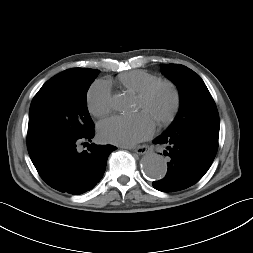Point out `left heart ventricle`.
<instances>
[{"instance_id": "obj_1", "label": "left heart ventricle", "mask_w": 253, "mask_h": 253, "mask_svg": "<svg viewBox=\"0 0 253 253\" xmlns=\"http://www.w3.org/2000/svg\"><path fill=\"white\" fill-rule=\"evenodd\" d=\"M171 104V93L163 87L158 89L146 102L137 99V110L147 113L154 121H157L167 115Z\"/></svg>"}]
</instances>
